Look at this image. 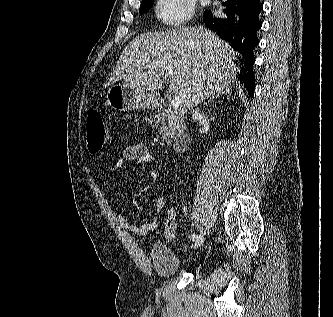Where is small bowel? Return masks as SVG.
<instances>
[{
  "label": "small bowel",
  "instance_id": "1",
  "mask_svg": "<svg viewBox=\"0 0 333 317\" xmlns=\"http://www.w3.org/2000/svg\"><path fill=\"white\" fill-rule=\"evenodd\" d=\"M154 161L153 155L150 153L146 145L142 143H135L126 146L117 161L114 164L115 170L131 165V164H148ZM166 206V200L163 196H159L156 199V203L153 210V215L150 221L142 225H135L129 223L123 217H120L121 225L124 229L132 234L142 236L150 233L158 228V217Z\"/></svg>",
  "mask_w": 333,
  "mask_h": 317
}]
</instances>
